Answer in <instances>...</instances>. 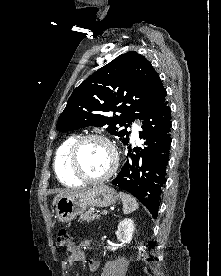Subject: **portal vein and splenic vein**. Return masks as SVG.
<instances>
[{"mask_svg": "<svg viewBox=\"0 0 221 276\" xmlns=\"http://www.w3.org/2000/svg\"><path fill=\"white\" fill-rule=\"evenodd\" d=\"M107 213H108L107 211H103L101 214H104V215H105V214H107Z\"/></svg>", "mask_w": 221, "mask_h": 276, "instance_id": "portal-vein-and-splenic-vein-1", "label": "portal vein and splenic vein"}]
</instances>
